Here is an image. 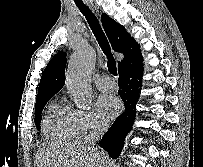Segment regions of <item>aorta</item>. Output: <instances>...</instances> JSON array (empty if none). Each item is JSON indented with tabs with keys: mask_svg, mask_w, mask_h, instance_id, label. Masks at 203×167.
Listing matches in <instances>:
<instances>
[{
	"mask_svg": "<svg viewBox=\"0 0 203 167\" xmlns=\"http://www.w3.org/2000/svg\"><path fill=\"white\" fill-rule=\"evenodd\" d=\"M96 53L92 47L82 44L72 55L67 76V89L73 101L87 106L92 99L90 76L95 67Z\"/></svg>",
	"mask_w": 203,
	"mask_h": 167,
	"instance_id": "aorta-1",
	"label": "aorta"
}]
</instances>
